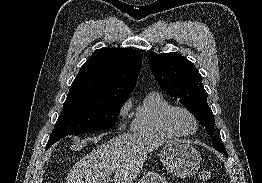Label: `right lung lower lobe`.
<instances>
[{"instance_id": "98d812e1", "label": "right lung lower lobe", "mask_w": 262, "mask_h": 183, "mask_svg": "<svg viewBox=\"0 0 262 183\" xmlns=\"http://www.w3.org/2000/svg\"><path fill=\"white\" fill-rule=\"evenodd\" d=\"M51 145H47V148L50 147Z\"/></svg>"}]
</instances>
